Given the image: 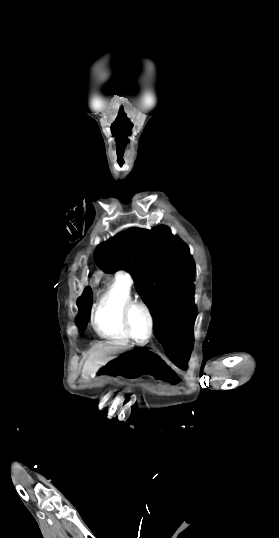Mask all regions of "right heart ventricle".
Returning <instances> with one entry per match:
<instances>
[{
  "instance_id": "obj_1",
  "label": "right heart ventricle",
  "mask_w": 279,
  "mask_h": 538,
  "mask_svg": "<svg viewBox=\"0 0 279 538\" xmlns=\"http://www.w3.org/2000/svg\"><path fill=\"white\" fill-rule=\"evenodd\" d=\"M101 230L96 226L90 233L91 241L99 238ZM135 300L132 293V280L125 272H119L108 282L96 299L91 313V323L95 331L102 337L128 342L122 324L124 306Z\"/></svg>"
}]
</instances>
